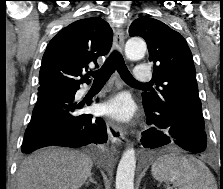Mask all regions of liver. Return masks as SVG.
<instances>
[{"instance_id":"obj_1","label":"liver","mask_w":223,"mask_h":189,"mask_svg":"<svg viewBox=\"0 0 223 189\" xmlns=\"http://www.w3.org/2000/svg\"><path fill=\"white\" fill-rule=\"evenodd\" d=\"M92 159L79 151L50 147L24 159L16 189H79L89 177Z\"/></svg>"}]
</instances>
